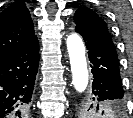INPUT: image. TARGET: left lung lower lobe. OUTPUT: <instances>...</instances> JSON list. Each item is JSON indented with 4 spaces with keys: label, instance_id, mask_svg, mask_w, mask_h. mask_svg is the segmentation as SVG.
Masks as SVG:
<instances>
[{
    "label": "left lung lower lobe",
    "instance_id": "obj_1",
    "mask_svg": "<svg viewBox=\"0 0 133 118\" xmlns=\"http://www.w3.org/2000/svg\"><path fill=\"white\" fill-rule=\"evenodd\" d=\"M75 30L83 37L88 50L93 74L91 93L95 101H124L119 61L113 42L95 37L77 27Z\"/></svg>",
    "mask_w": 133,
    "mask_h": 118
}]
</instances>
